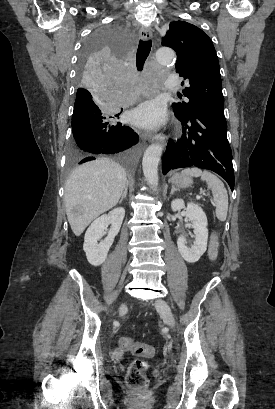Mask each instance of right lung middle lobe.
<instances>
[{"label": "right lung middle lobe", "instance_id": "dd1d6c3e", "mask_svg": "<svg viewBox=\"0 0 275 409\" xmlns=\"http://www.w3.org/2000/svg\"><path fill=\"white\" fill-rule=\"evenodd\" d=\"M128 30H118L117 24H100L99 30L84 43L75 78L79 89L72 116V139L68 149V164L62 166V176L69 178L73 167L94 160L118 161L130 173L139 171L135 159L141 151L139 137L126 123L124 105L128 96H112L111 91H128L122 82L123 59L116 51H132Z\"/></svg>", "mask_w": 275, "mask_h": 409}]
</instances>
